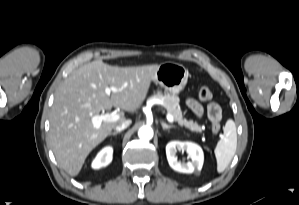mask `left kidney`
Returning <instances> with one entry per match:
<instances>
[{
  "mask_svg": "<svg viewBox=\"0 0 299 205\" xmlns=\"http://www.w3.org/2000/svg\"><path fill=\"white\" fill-rule=\"evenodd\" d=\"M186 151L191 162L181 163L177 160L176 152ZM166 155L170 167L181 173L200 171L203 166L204 155L201 147L192 142L171 141L166 146Z\"/></svg>",
  "mask_w": 299,
  "mask_h": 205,
  "instance_id": "left-kidney-1",
  "label": "left kidney"
}]
</instances>
